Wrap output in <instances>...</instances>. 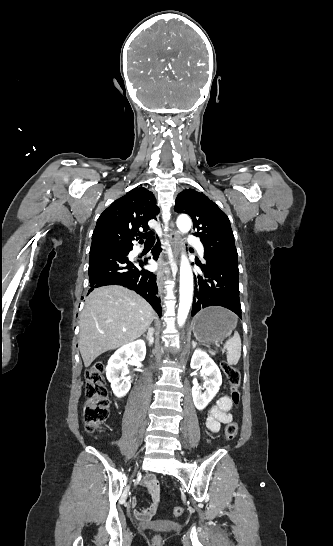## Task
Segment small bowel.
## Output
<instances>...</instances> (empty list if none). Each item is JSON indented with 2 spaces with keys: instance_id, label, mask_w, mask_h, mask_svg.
I'll use <instances>...</instances> for the list:
<instances>
[{
  "instance_id": "c3829d8e",
  "label": "small bowel",
  "mask_w": 333,
  "mask_h": 546,
  "mask_svg": "<svg viewBox=\"0 0 333 546\" xmlns=\"http://www.w3.org/2000/svg\"><path fill=\"white\" fill-rule=\"evenodd\" d=\"M232 402L228 396H221L209 410L208 416L205 421L206 429L209 435L219 432L221 425L227 424L232 421L233 416L231 413ZM143 487L146 489L150 496V504L145 508H135L134 516L142 521L150 520L157 511L160 501V489L157 485L156 478L153 474L145 477L143 481ZM137 503L134 501V506Z\"/></svg>"
}]
</instances>
